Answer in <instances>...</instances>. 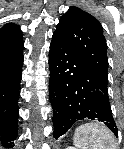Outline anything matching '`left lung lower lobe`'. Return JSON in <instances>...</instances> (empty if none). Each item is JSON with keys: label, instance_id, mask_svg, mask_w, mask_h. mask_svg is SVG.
<instances>
[{"label": "left lung lower lobe", "instance_id": "left-lung-lower-lobe-1", "mask_svg": "<svg viewBox=\"0 0 124 149\" xmlns=\"http://www.w3.org/2000/svg\"><path fill=\"white\" fill-rule=\"evenodd\" d=\"M49 96L54 137L83 119L103 122L118 137L108 96V77L98 73L56 32L49 51Z\"/></svg>", "mask_w": 124, "mask_h": 149}]
</instances>
